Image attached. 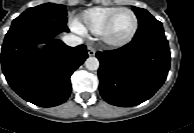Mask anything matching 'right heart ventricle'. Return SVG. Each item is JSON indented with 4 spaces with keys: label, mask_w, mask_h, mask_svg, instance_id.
Segmentation results:
<instances>
[{
    "label": "right heart ventricle",
    "mask_w": 194,
    "mask_h": 133,
    "mask_svg": "<svg viewBox=\"0 0 194 133\" xmlns=\"http://www.w3.org/2000/svg\"><path fill=\"white\" fill-rule=\"evenodd\" d=\"M120 7H94L79 16V22L94 34H99L104 23Z\"/></svg>",
    "instance_id": "obj_1"
}]
</instances>
